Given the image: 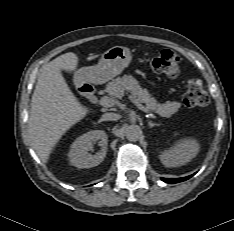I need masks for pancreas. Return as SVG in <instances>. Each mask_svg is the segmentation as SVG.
Masks as SVG:
<instances>
[{"mask_svg":"<svg viewBox=\"0 0 234 231\" xmlns=\"http://www.w3.org/2000/svg\"><path fill=\"white\" fill-rule=\"evenodd\" d=\"M105 92L108 97L112 100L115 98L121 99L125 92L131 94L138 102L144 103L148 110L158 113L162 117L169 118L171 115L175 114L180 103L166 101L164 104H159L146 89L140 87L137 80L132 76H123L114 79L106 85Z\"/></svg>","mask_w":234,"mask_h":231,"instance_id":"cf45deb5","label":"pancreas"}]
</instances>
